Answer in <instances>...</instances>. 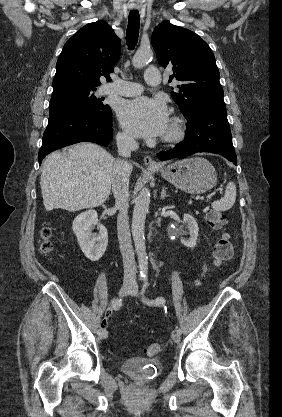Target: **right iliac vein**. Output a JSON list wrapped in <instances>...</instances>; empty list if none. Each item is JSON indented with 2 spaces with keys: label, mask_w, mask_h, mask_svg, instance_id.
I'll return each instance as SVG.
<instances>
[{
  "label": "right iliac vein",
  "mask_w": 282,
  "mask_h": 417,
  "mask_svg": "<svg viewBox=\"0 0 282 417\" xmlns=\"http://www.w3.org/2000/svg\"><path fill=\"white\" fill-rule=\"evenodd\" d=\"M133 285L131 283H124L122 285V287L119 290V295L120 296H125L127 294H129V292L132 290ZM108 336V332L105 329H102L99 333V337L102 339L107 338Z\"/></svg>",
  "instance_id": "right-iliac-vein-1"
}]
</instances>
